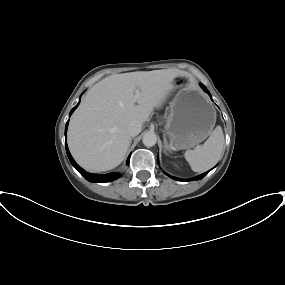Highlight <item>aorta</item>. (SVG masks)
Returning a JSON list of instances; mask_svg holds the SVG:
<instances>
[{"label":"aorta","instance_id":"obj_1","mask_svg":"<svg viewBox=\"0 0 285 285\" xmlns=\"http://www.w3.org/2000/svg\"><path fill=\"white\" fill-rule=\"evenodd\" d=\"M142 142L146 147H152L157 142V136L154 132H147L144 134Z\"/></svg>","mask_w":285,"mask_h":285}]
</instances>
